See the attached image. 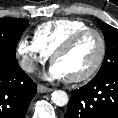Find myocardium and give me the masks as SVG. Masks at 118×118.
<instances>
[{
  "label": "myocardium",
  "mask_w": 118,
  "mask_h": 118,
  "mask_svg": "<svg viewBox=\"0 0 118 118\" xmlns=\"http://www.w3.org/2000/svg\"><path fill=\"white\" fill-rule=\"evenodd\" d=\"M90 34L95 35L99 40L100 52H99L98 58L96 62L94 63V65L86 73L79 76L67 78V81L70 83H79V82H84L91 79L103 65L104 60L106 58V54H107V42L103 33L95 28L89 27V28L83 29L73 34L71 37H69L51 55V60L52 62H54L56 58L69 52L79 41H81L84 37Z\"/></svg>",
  "instance_id": "f54148a6"
}]
</instances>
